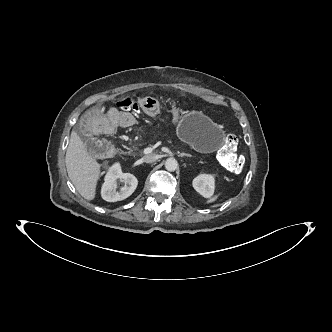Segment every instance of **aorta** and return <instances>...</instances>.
<instances>
[{"mask_svg": "<svg viewBox=\"0 0 332 332\" xmlns=\"http://www.w3.org/2000/svg\"><path fill=\"white\" fill-rule=\"evenodd\" d=\"M166 170L173 172L178 168V162L175 158L170 157L165 161Z\"/></svg>", "mask_w": 332, "mask_h": 332, "instance_id": "obj_1", "label": "aorta"}]
</instances>
